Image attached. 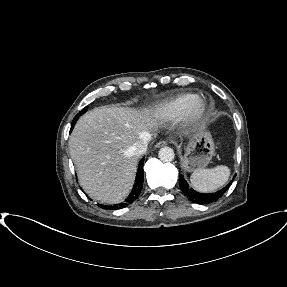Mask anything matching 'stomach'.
Segmentation results:
<instances>
[{
    "instance_id": "obj_1",
    "label": "stomach",
    "mask_w": 287,
    "mask_h": 287,
    "mask_svg": "<svg viewBox=\"0 0 287 287\" xmlns=\"http://www.w3.org/2000/svg\"><path fill=\"white\" fill-rule=\"evenodd\" d=\"M215 151L210 132L198 131L186 144L183 165L188 171H197L206 167Z\"/></svg>"
}]
</instances>
